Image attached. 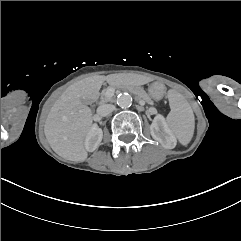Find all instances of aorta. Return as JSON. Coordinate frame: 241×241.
I'll list each match as a JSON object with an SVG mask.
<instances>
[{
    "instance_id": "obj_1",
    "label": "aorta",
    "mask_w": 241,
    "mask_h": 241,
    "mask_svg": "<svg viewBox=\"0 0 241 241\" xmlns=\"http://www.w3.org/2000/svg\"><path fill=\"white\" fill-rule=\"evenodd\" d=\"M132 96L128 93H121L117 97V104L121 108H128L132 105Z\"/></svg>"
}]
</instances>
